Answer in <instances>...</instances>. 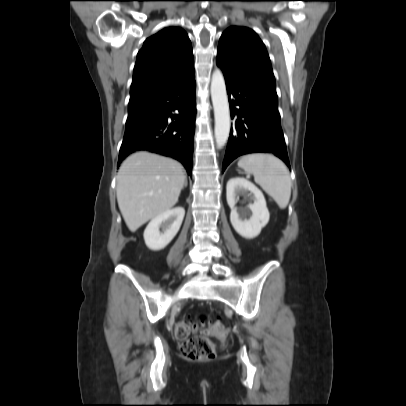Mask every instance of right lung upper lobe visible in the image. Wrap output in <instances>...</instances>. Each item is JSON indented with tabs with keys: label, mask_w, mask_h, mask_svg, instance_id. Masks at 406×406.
Listing matches in <instances>:
<instances>
[{
	"label": "right lung upper lobe",
	"mask_w": 406,
	"mask_h": 406,
	"mask_svg": "<svg viewBox=\"0 0 406 406\" xmlns=\"http://www.w3.org/2000/svg\"><path fill=\"white\" fill-rule=\"evenodd\" d=\"M194 73L191 42L184 30L168 27L146 39L138 52L129 106L167 90Z\"/></svg>",
	"instance_id": "1"
}]
</instances>
